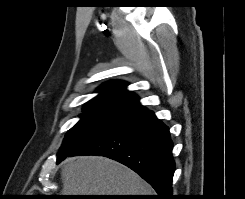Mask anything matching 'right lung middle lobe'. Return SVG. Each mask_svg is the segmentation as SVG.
<instances>
[{"label": "right lung middle lobe", "instance_id": "right-lung-middle-lobe-1", "mask_svg": "<svg viewBox=\"0 0 245 199\" xmlns=\"http://www.w3.org/2000/svg\"><path fill=\"white\" fill-rule=\"evenodd\" d=\"M125 118H127L125 115L85 108L81 120L67 132L63 145L58 152V158H65L92 143Z\"/></svg>", "mask_w": 245, "mask_h": 199}]
</instances>
